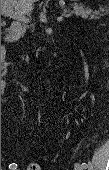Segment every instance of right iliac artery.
<instances>
[{
  "instance_id": "1",
  "label": "right iliac artery",
  "mask_w": 109,
  "mask_h": 170,
  "mask_svg": "<svg viewBox=\"0 0 109 170\" xmlns=\"http://www.w3.org/2000/svg\"><path fill=\"white\" fill-rule=\"evenodd\" d=\"M16 168H17V164L16 163H12V164L9 165V169L10 170H16Z\"/></svg>"
}]
</instances>
